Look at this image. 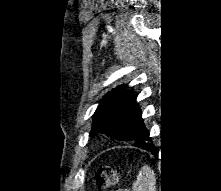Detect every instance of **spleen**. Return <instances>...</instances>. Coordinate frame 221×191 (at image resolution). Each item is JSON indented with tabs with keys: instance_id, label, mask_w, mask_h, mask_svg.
<instances>
[{
	"instance_id": "obj_1",
	"label": "spleen",
	"mask_w": 221,
	"mask_h": 191,
	"mask_svg": "<svg viewBox=\"0 0 221 191\" xmlns=\"http://www.w3.org/2000/svg\"><path fill=\"white\" fill-rule=\"evenodd\" d=\"M132 191H156V175L148 165L143 166L140 170L133 183Z\"/></svg>"
}]
</instances>
